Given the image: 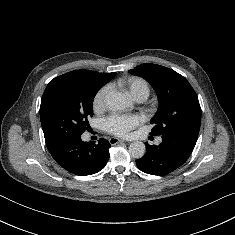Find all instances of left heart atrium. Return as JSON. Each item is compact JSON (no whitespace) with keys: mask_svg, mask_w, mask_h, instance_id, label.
<instances>
[{"mask_svg":"<svg viewBox=\"0 0 235 235\" xmlns=\"http://www.w3.org/2000/svg\"><path fill=\"white\" fill-rule=\"evenodd\" d=\"M142 122L139 115L114 114L108 116L104 122V129L117 136H126Z\"/></svg>","mask_w":235,"mask_h":235,"instance_id":"left-heart-atrium-1","label":"left heart atrium"}]
</instances>
